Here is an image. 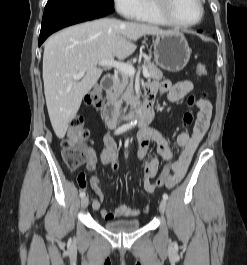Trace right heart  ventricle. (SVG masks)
<instances>
[{
    "label": "right heart ventricle",
    "instance_id": "1",
    "mask_svg": "<svg viewBox=\"0 0 247 265\" xmlns=\"http://www.w3.org/2000/svg\"><path fill=\"white\" fill-rule=\"evenodd\" d=\"M134 20L154 25H169L155 10L154 0H142V10Z\"/></svg>",
    "mask_w": 247,
    "mask_h": 265
}]
</instances>
